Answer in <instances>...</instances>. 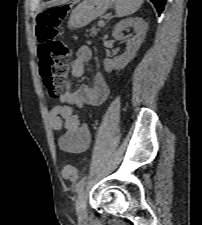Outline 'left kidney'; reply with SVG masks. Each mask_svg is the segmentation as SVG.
Segmentation results:
<instances>
[{"label":"left kidney","instance_id":"1","mask_svg":"<svg viewBox=\"0 0 202 225\" xmlns=\"http://www.w3.org/2000/svg\"><path fill=\"white\" fill-rule=\"evenodd\" d=\"M128 28H133L136 34L132 38L124 40L122 31ZM147 28V23L139 17L127 18L115 25L112 33L113 37L119 41L124 40L127 48L126 52L118 57L104 59L103 63L106 71L124 69V67L135 58L137 51L140 49V46L145 39Z\"/></svg>","mask_w":202,"mask_h":225}]
</instances>
